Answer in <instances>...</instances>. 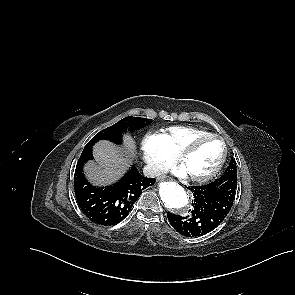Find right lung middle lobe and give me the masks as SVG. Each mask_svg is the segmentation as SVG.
<instances>
[{
    "label": "right lung middle lobe",
    "mask_w": 295,
    "mask_h": 295,
    "mask_svg": "<svg viewBox=\"0 0 295 295\" xmlns=\"http://www.w3.org/2000/svg\"><path fill=\"white\" fill-rule=\"evenodd\" d=\"M152 121L146 118L140 117H126L117 122L116 124L100 131L96 134L85 146L81 156H85L87 153L92 151V146L99 140L106 139L112 141L116 144H120L122 142V134L126 131L127 128L134 131L144 126H147Z\"/></svg>",
    "instance_id": "dd1d6c3e"
}]
</instances>
